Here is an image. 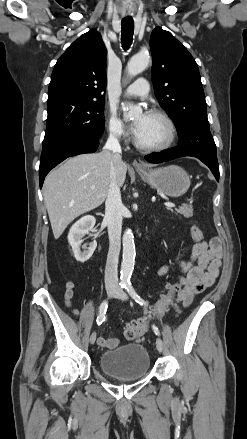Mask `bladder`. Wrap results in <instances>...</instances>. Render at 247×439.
<instances>
[{"instance_id":"31cf9c89","label":"bladder","mask_w":247,"mask_h":439,"mask_svg":"<svg viewBox=\"0 0 247 439\" xmlns=\"http://www.w3.org/2000/svg\"><path fill=\"white\" fill-rule=\"evenodd\" d=\"M100 368L108 376L131 381L144 377L150 369V357L141 344H127L104 352Z\"/></svg>"}]
</instances>
